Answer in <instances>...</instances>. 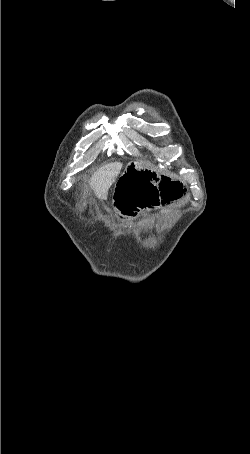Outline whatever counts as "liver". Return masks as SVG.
Segmentation results:
<instances>
[{
  "label": "liver",
  "mask_w": 250,
  "mask_h": 454,
  "mask_svg": "<svg viewBox=\"0 0 250 454\" xmlns=\"http://www.w3.org/2000/svg\"><path fill=\"white\" fill-rule=\"evenodd\" d=\"M121 168L122 163H109L100 167L93 174L90 185L98 198H107L108 190L120 174Z\"/></svg>",
  "instance_id": "obj_1"
}]
</instances>
